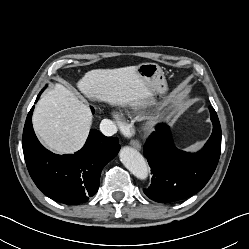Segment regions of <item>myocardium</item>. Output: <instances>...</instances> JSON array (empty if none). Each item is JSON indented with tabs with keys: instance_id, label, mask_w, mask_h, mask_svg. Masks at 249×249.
<instances>
[{
	"instance_id": "1",
	"label": "myocardium",
	"mask_w": 249,
	"mask_h": 249,
	"mask_svg": "<svg viewBox=\"0 0 249 249\" xmlns=\"http://www.w3.org/2000/svg\"><path fill=\"white\" fill-rule=\"evenodd\" d=\"M157 123L156 119H152L148 124H147V129L151 130Z\"/></svg>"
}]
</instances>
